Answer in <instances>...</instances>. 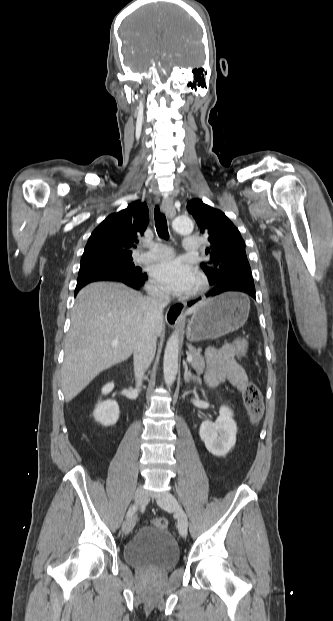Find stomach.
Masks as SVG:
<instances>
[{
  "label": "stomach",
  "mask_w": 333,
  "mask_h": 621,
  "mask_svg": "<svg viewBox=\"0 0 333 621\" xmlns=\"http://www.w3.org/2000/svg\"><path fill=\"white\" fill-rule=\"evenodd\" d=\"M249 303L241 293L227 292L205 300L193 313L186 333L190 342L213 340L242 327Z\"/></svg>",
  "instance_id": "0dacf381"
}]
</instances>
